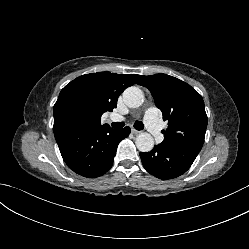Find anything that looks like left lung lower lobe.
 <instances>
[{
	"mask_svg": "<svg viewBox=\"0 0 249 249\" xmlns=\"http://www.w3.org/2000/svg\"><path fill=\"white\" fill-rule=\"evenodd\" d=\"M198 151L184 146L155 145L147 153H140L144 168L160 179H172L185 173L194 162Z\"/></svg>",
	"mask_w": 249,
	"mask_h": 249,
	"instance_id": "left-lung-lower-lobe-1",
	"label": "left lung lower lobe"
}]
</instances>
